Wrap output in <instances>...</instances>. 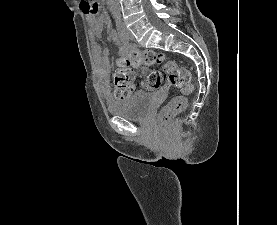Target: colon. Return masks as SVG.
I'll return each mask as SVG.
<instances>
[{
	"label": "colon",
	"instance_id": "obj_1",
	"mask_svg": "<svg viewBox=\"0 0 277 225\" xmlns=\"http://www.w3.org/2000/svg\"><path fill=\"white\" fill-rule=\"evenodd\" d=\"M80 7L86 14H96L99 5L93 0H81ZM162 66L170 84L181 93L171 99L161 110L158 121L165 129L170 119L181 113L187 106V98L193 93L190 72L175 60H169L162 53L150 49L135 50L117 59L114 74V93L118 100L128 99L134 91L135 66ZM164 73L152 70L146 74L144 86L149 91L160 89L164 83Z\"/></svg>",
	"mask_w": 277,
	"mask_h": 225
}]
</instances>
